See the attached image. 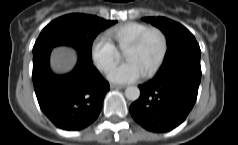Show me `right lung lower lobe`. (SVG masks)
I'll use <instances>...</instances> for the list:
<instances>
[{"label": "right lung lower lobe", "instance_id": "obj_1", "mask_svg": "<svg viewBox=\"0 0 238 145\" xmlns=\"http://www.w3.org/2000/svg\"><path fill=\"white\" fill-rule=\"evenodd\" d=\"M52 48L33 53V84L43 113L58 128L82 130L98 117L108 82L93 66L92 59L79 53L75 69L55 75L49 67Z\"/></svg>", "mask_w": 238, "mask_h": 145}]
</instances>
